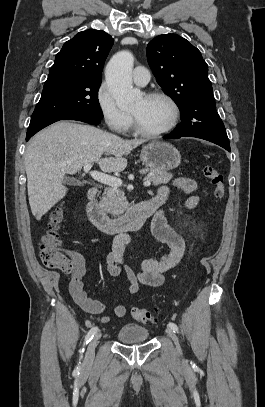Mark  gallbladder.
<instances>
[{"label": "gallbladder", "mask_w": 265, "mask_h": 407, "mask_svg": "<svg viewBox=\"0 0 265 407\" xmlns=\"http://www.w3.org/2000/svg\"><path fill=\"white\" fill-rule=\"evenodd\" d=\"M64 182L69 184V185H74V186L80 184V182L77 179H74V178H66V179H64Z\"/></svg>", "instance_id": "gallbladder-1"}]
</instances>
